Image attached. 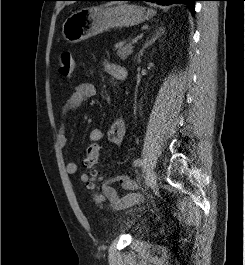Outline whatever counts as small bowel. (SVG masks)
I'll return each mask as SVG.
<instances>
[{
	"mask_svg": "<svg viewBox=\"0 0 245 265\" xmlns=\"http://www.w3.org/2000/svg\"><path fill=\"white\" fill-rule=\"evenodd\" d=\"M103 68L106 73L111 77L113 82L123 81L126 78V70L115 63L104 62ZM96 94V88L92 83L83 82L76 85L68 100L64 104L61 111V126L58 131L57 140L60 147L64 148L67 145L66 136V118L67 116L79 109L82 104L88 99L92 98ZM126 125L122 118L116 119L107 134L108 140L119 145L125 135ZM103 138V132L99 128H94L90 131L89 140L90 143L98 144ZM66 172L68 175H74L78 172V166L75 162H69L66 165ZM79 179L82 183L88 184L90 181V176L87 173H81ZM113 183H119L121 187L129 193L123 197H120L111 185ZM99 190L102 194V201L108 200V208L111 210H121L125 209L131 205L141 203L143 197L137 192L138 184L136 181L132 180L130 177L124 174L115 175L105 179L99 186Z\"/></svg>",
	"mask_w": 245,
	"mask_h": 265,
	"instance_id": "small-bowel-1",
	"label": "small bowel"
}]
</instances>
